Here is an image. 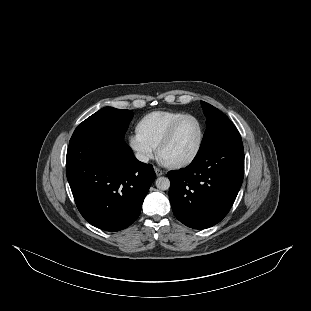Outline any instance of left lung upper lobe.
Instances as JSON below:
<instances>
[{"mask_svg":"<svg viewBox=\"0 0 311 311\" xmlns=\"http://www.w3.org/2000/svg\"><path fill=\"white\" fill-rule=\"evenodd\" d=\"M206 116V131L197 156L231 140L241 139V136L229 118L214 106L201 101Z\"/></svg>","mask_w":311,"mask_h":311,"instance_id":"1","label":"left lung upper lobe"}]
</instances>
